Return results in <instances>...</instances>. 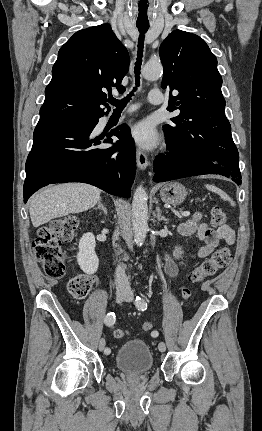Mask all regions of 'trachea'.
Here are the masks:
<instances>
[{
	"mask_svg": "<svg viewBox=\"0 0 262 431\" xmlns=\"http://www.w3.org/2000/svg\"><path fill=\"white\" fill-rule=\"evenodd\" d=\"M147 8H148V5L146 4V2L141 0L138 4L139 13H146ZM137 28H138V31L140 32L139 43H138V58H137V62L135 65V78H136V85L138 86L140 83V81H139L140 76L139 75H140V66H141V62H142L141 58L143 56L142 52H143V44H144V35L148 31L149 26H138L137 25ZM135 89L136 88H134V90ZM131 96H133V92H130V94L122 100H117L115 98H111L108 101L110 104H112L113 106L116 107V110H122L126 106V104L129 102Z\"/></svg>",
	"mask_w": 262,
	"mask_h": 431,
	"instance_id": "3493384b",
	"label": "trachea"
}]
</instances>
